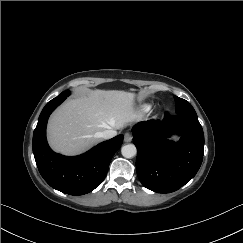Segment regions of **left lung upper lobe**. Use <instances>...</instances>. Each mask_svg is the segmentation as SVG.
Listing matches in <instances>:
<instances>
[{"label":"left lung upper lobe","instance_id":"5c2ea615","mask_svg":"<svg viewBox=\"0 0 243 243\" xmlns=\"http://www.w3.org/2000/svg\"><path fill=\"white\" fill-rule=\"evenodd\" d=\"M174 99L176 102L175 114L197 118V114L189 102L177 96H174Z\"/></svg>","mask_w":243,"mask_h":243}]
</instances>
